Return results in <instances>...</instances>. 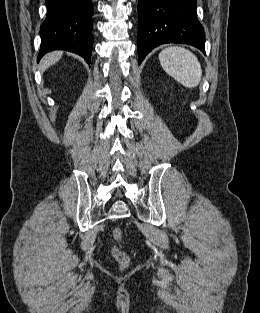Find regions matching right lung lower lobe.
I'll use <instances>...</instances> for the list:
<instances>
[{
	"mask_svg": "<svg viewBox=\"0 0 260 313\" xmlns=\"http://www.w3.org/2000/svg\"><path fill=\"white\" fill-rule=\"evenodd\" d=\"M47 17L41 25L38 61L52 50H67L90 62L92 52V0H46Z\"/></svg>",
	"mask_w": 260,
	"mask_h": 313,
	"instance_id": "right-lung-lower-lobe-1",
	"label": "right lung lower lobe"
}]
</instances>
